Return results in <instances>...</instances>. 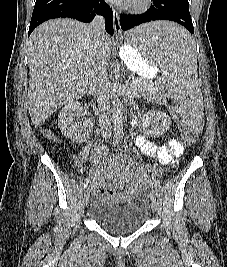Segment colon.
I'll return each instance as SVG.
<instances>
[{
	"label": "colon",
	"instance_id": "1",
	"mask_svg": "<svg viewBox=\"0 0 227 267\" xmlns=\"http://www.w3.org/2000/svg\"><path fill=\"white\" fill-rule=\"evenodd\" d=\"M167 113L172 116V120L174 121L175 125H181L182 127V139L185 140L186 147L190 148V151H193L191 147H197L198 139H195V135L192 133L191 130L186 129V125H184L182 116L179 115V111H177V104H167ZM46 136L50 137L49 133H46Z\"/></svg>",
	"mask_w": 227,
	"mask_h": 267
}]
</instances>
